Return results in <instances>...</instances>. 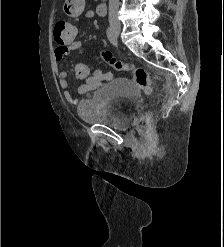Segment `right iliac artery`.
Masks as SVG:
<instances>
[{
	"label": "right iliac artery",
	"instance_id": "1",
	"mask_svg": "<svg viewBox=\"0 0 224 247\" xmlns=\"http://www.w3.org/2000/svg\"><path fill=\"white\" fill-rule=\"evenodd\" d=\"M106 33H107L108 40L114 46H117L118 45L117 36H116L115 32L113 31V29L111 27H108Z\"/></svg>",
	"mask_w": 224,
	"mask_h": 247
}]
</instances>
